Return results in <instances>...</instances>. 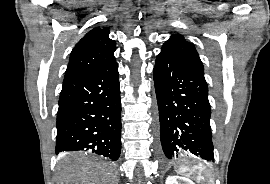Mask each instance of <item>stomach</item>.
Masks as SVG:
<instances>
[{"instance_id": "stomach-1", "label": "stomach", "mask_w": 270, "mask_h": 184, "mask_svg": "<svg viewBox=\"0 0 270 184\" xmlns=\"http://www.w3.org/2000/svg\"><path fill=\"white\" fill-rule=\"evenodd\" d=\"M184 167H187V166L182 164V163H177L175 165L176 172H179L181 170V168H184Z\"/></svg>"}]
</instances>
